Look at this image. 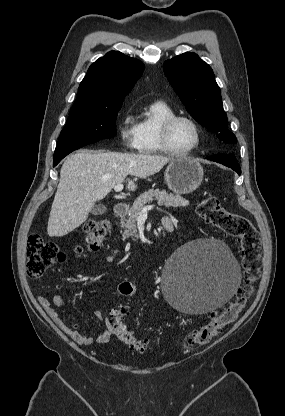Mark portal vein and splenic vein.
I'll return each instance as SVG.
<instances>
[{"instance_id":"portal-vein-and-splenic-vein-1","label":"portal vein and splenic vein","mask_w":285,"mask_h":416,"mask_svg":"<svg viewBox=\"0 0 285 416\" xmlns=\"http://www.w3.org/2000/svg\"><path fill=\"white\" fill-rule=\"evenodd\" d=\"M123 188V184H117V186H114L115 192H122ZM152 208H154V206H144L140 212V216H147L148 210H152Z\"/></svg>"}]
</instances>
